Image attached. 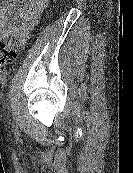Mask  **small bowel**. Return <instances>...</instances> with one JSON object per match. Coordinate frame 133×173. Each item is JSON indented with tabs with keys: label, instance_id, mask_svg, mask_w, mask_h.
<instances>
[{
	"label": "small bowel",
	"instance_id": "obj_1",
	"mask_svg": "<svg viewBox=\"0 0 133 173\" xmlns=\"http://www.w3.org/2000/svg\"><path fill=\"white\" fill-rule=\"evenodd\" d=\"M0 0V38H12L22 48L37 24L47 0Z\"/></svg>",
	"mask_w": 133,
	"mask_h": 173
}]
</instances>
